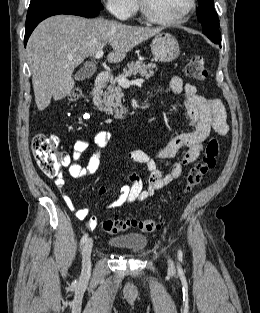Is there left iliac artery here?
<instances>
[{
	"label": "left iliac artery",
	"mask_w": 260,
	"mask_h": 313,
	"mask_svg": "<svg viewBox=\"0 0 260 313\" xmlns=\"http://www.w3.org/2000/svg\"><path fill=\"white\" fill-rule=\"evenodd\" d=\"M178 257H179V259H182V251L181 250H178Z\"/></svg>",
	"instance_id": "44dca946"
}]
</instances>
